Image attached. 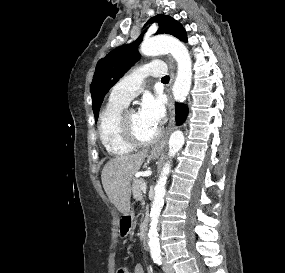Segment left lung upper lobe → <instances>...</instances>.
I'll return each instance as SVG.
<instances>
[{
  "label": "left lung upper lobe",
  "mask_w": 285,
  "mask_h": 273,
  "mask_svg": "<svg viewBox=\"0 0 285 273\" xmlns=\"http://www.w3.org/2000/svg\"><path fill=\"white\" fill-rule=\"evenodd\" d=\"M152 22L159 24L156 34H171L181 41L187 40L185 30L173 18L158 14L150 18L147 23ZM144 33L135 42L114 49L98 62L90 87L95 122L98 119L99 108L106 93L138 61L137 46L141 43Z\"/></svg>",
  "instance_id": "1"
}]
</instances>
